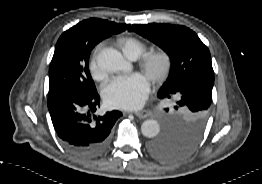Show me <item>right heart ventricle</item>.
<instances>
[{
  "instance_id": "obj_1",
  "label": "right heart ventricle",
  "mask_w": 262,
  "mask_h": 184,
  "mask_svg": "<svg viewBox=\"0 0 262 184\" xmlns=\"http://www.w3.org/2000/svg\"><path fill=\"white\" fill-rule=\"evenodd\" d=\"M123 49L127 55L138 56L144 51L145 47L139 41L129 38L124 41Z\"/></svg>"
}]
</instances>
